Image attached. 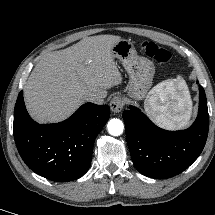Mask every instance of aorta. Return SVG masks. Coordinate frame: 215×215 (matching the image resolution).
Segmentation results:
<instances>
[{
	"mask_svg": "<svg viewBox=\"0 0 215 215\" xmlns=\"http://www.w3.org/2000/svg\"><path fill=\"white\" fill-rule=\"evenodd\" d=\"M107 129L112 136H119L123 133L124 125L120 119H111L108 122Z\"/></svg>",
	"mask_w": 215,
	"mask_h": 215,
	"instance_id": "1",
	"label": "aorta"
}]
</instances>
